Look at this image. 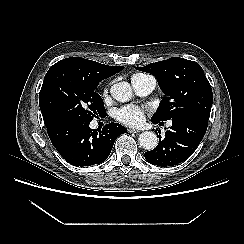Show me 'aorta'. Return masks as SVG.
I'll return each mask as SVG.
<instances>
[{
    "label": "aorta",
    "mask_w": 244,
    "mask_h": 244,
    "mask_svg": "<svg viewBox=\"0 0 244 244\" xmlns=\"http://www.w3.org/2000/svg\"><path fill=\"white\" fill-rule=\"evenodd\" d=\"M110 93L115 100L124 103L132 97V88L128 82H119L111 87ZM138 140L145 150H153L158 144V137L152 131L141 133Z\"/></svg>",
    "instance_id": "aorta-1"
}]
</instances>
